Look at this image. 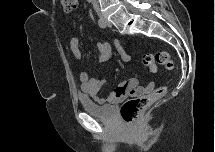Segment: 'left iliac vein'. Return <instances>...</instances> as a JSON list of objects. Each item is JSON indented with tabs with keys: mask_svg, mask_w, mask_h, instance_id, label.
I'll use <instances>...</instances> for the list:
<instances>
[{
	"mask_svg": "<svg viewBox=\"0 0 215 152\" xmlns=\"http://www.w3.org/2000/svg\"><path fill=\"white\" fill-rule=\"evenodd\" d=\"M104 21L106 22L108 27H111V23L109 21H107L106 19H104Z\"/></svg>",
	"mask_w": 215,
	"mask_h": 152,
	"instance_id": "1",
	"label": "left iliac vein"
}]
</instances>
